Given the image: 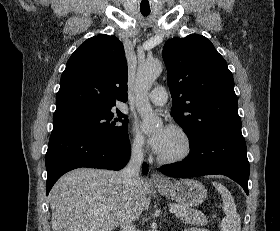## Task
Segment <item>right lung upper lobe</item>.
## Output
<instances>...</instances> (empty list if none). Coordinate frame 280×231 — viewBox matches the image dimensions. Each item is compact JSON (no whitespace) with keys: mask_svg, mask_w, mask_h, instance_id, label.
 Here are the masks:
<instances>
[{"mask_svg":"<svg viewBox=\"0 0 280 231\" xmlns=\"http://www.w3.org/2000/svg\"><path fill=\"white\" fill-rule=\"evenodd\" d=\"M127 74L118 38L103 34L88 39L62 73L53 122L111 112L115 101L128 99Z\"/></svg>","mask_w":280,"mask_h":231,"instance_id":"right-lung-upper-lobe-1","label":"right lung upper lobe"}]
</instances>
